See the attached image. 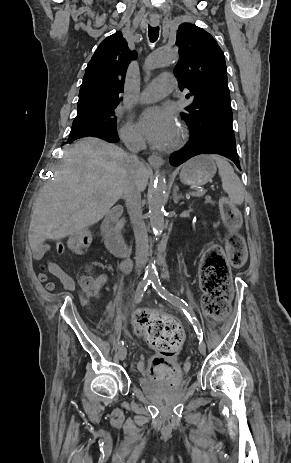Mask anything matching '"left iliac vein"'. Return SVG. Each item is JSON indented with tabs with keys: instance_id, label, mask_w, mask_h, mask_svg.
<instances>
[{
	"instance_id": "1",
	"label": "left iliac vein",
	"mask_w": 291,
	"mask_h": 463,
	"mask_svg": "<svg viewBox=\"0 0 291 463\" xmlns=\"http://www.w3.org/2000/svg\"><path fill=\"white\" fill-rule=\"evenodd\" d=\"M198 350H199V352H200L202 355L205 354V352H206V345H205V342H204L203 340H201V341L199 342Z\"/></svg>"
}]
</instances>
